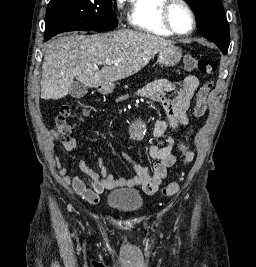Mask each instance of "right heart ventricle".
<instances>
[{
    "instance_id": "1",
    "label": "right heart ventricle",
    "mask_w": 256,
    "mask_h": 267,
    "mask_svg": "<svg viewBox=\"0 0 256 267\" xmlns=\"http://www.w3.org/2000/svg\"><path fill=\"white\" fill-rule=\"evenodd\" d=\"M167 0H137L133 6L135 28H143V36H174L162 22L161 13Z\"/></svg>"
}]
</instances>
